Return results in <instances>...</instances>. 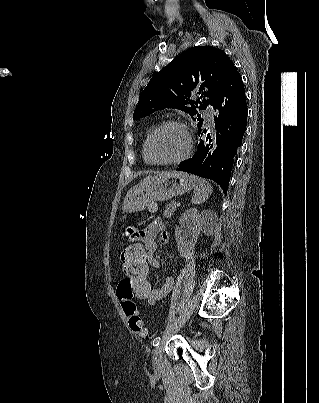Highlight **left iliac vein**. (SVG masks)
<instances>
[{
  "instance_id": "left-iliac-vein-1",
  "label": "left iliac vein",
  "mask_w": 319,
  "mask_h": 403,
  "mask_svg": "<svg viewBox=\"0 0 319 403\" xmlns=\"http://www.w3.org/2000/svg\"><path fill=\"white\" fill-rule=\"evenodd\" d=\"M162 349L163 346L159 344L153 353V364L156 370H160L162 366Z\"/></svg>"
}]
</instances>
